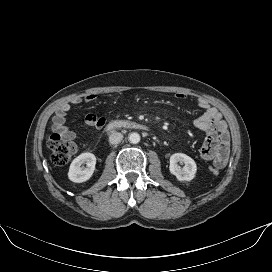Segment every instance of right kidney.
<instances>
[{
    "instance_id": "1",
    "label": "right kidney",
    "mask_w": 272,
    "mask_h": 272,
    "mask_svg": "<svg viewBox=\"0 0 272 272\" xmlns=\"http://www.w3.org/2000/svg\"><path fill=\"white\" fill-rule=\"evenodd\" d=\"M86 164V167L81 165ZM96 157L94 154L86 152L77 156L71 163L68 178L75 183H82L89 180L95 170Z\"/></svg>"
}]
</instances>
